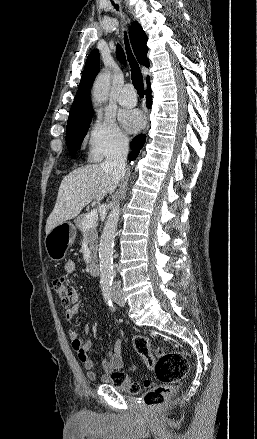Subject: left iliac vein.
Returning <instances> with one entry per match:
<instances>
[{
	"label": "left iliac vein",
	"mask_w": 257,
	"mask_h": 439,
	"mask_svg": "<svg viewBox=\"0 0 257 439\" xmlns=\"http://www.w3.org/2000/svg\"><path fill=\"white\" fill-rule=\"evenodd\" d=\"M112 295H113V299H114V301H115L118 305H120V306L125 305V301H124V299H123V296H122L121 292L113 291Z\"/></svg>",
	"instance_id": "4c4485c4"
}]
</instances>
